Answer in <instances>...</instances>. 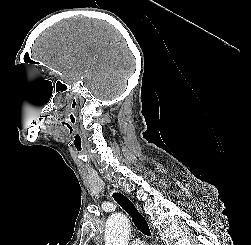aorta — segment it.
<instances>
[{"instance_id":"obj_1","label":"aorta","mask_w":251,"mask_h":245,"mask_svg":"<svg viewBox=\"0 0 251 245\" xmlns=\"http://www.w3.org/2000/svg\"><path fill=\"white\" fill-rule=\"evenodd\" d=\"M130 222L123 214L111 215L105 229V245H128Z\"/></svg>"}]
</instances>
